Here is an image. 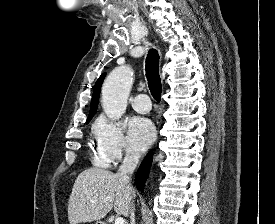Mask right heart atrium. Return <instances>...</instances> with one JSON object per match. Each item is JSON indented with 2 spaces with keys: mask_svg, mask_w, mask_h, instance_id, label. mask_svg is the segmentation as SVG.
<instances>
[{
  "mask_svg": "<svg viewBox=\"0 0 275 224\" xmlns=\"http://www.w3.org/2000/svg\"><path fill=\"white\" fill-rule=\"evenodd\" d=\"M94 135L97 147L111 162L135 157V153L127 144L121 123L101 118L96 124Z\"/></svg>",
  "mask_w": 275,
  "mask_h": 224,
  "instance_id": "right-heart-atrium-1",
  "label": "right heart atrium"
}]
</instances>
